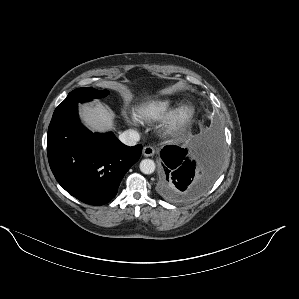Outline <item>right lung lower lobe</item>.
<instances>
[{
  "label": "right lung lower lobe",
  "instance_id": "98d812e1",
  "mask_svg": "<svg viewBox=\"0 0 299 299\" xmlns=\"http://www.w3.org/2000/svg\"><path fill=\"white\" fill-rule=\"evenodd\" d=\"M140 144L128 147L113 133L87 130L79 121L78 105L54 114L48 128L47 154L58 183L90 205L108 203L140 158Z\"/></svg>",
  "mask_w": 299,
  "mask_h": 299
}]
</instances>
